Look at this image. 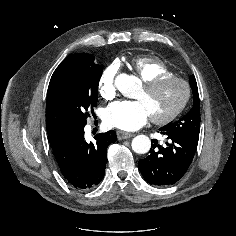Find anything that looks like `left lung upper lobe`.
I'll return each instance as SVG.
<instances>
[{
    "instance_id": "1",
    "label": "left lung upper lobe",
    "mask_w": 236,
    "mask_h": 236,
    "mask_svg": "<svg viewBox=\"0 0 236 236\" xmlns=\"http://www.w3.org/2000/svg\"><path fill=\"white\" fill-rule=\"evenodd\" d=\"M190 86L193 91V107L192 109L183 116L180 120L169 123L163 128L168 131L178 132L190 135L192 137L199 139V132H200V101H199V94L197 83L194 75L190 77Z\"/></svg>"
}]
</instances>
